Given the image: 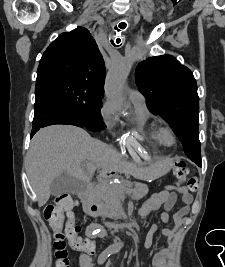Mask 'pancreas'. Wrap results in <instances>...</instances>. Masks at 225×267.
I'll use <instances>...</instances> for the list:
<instances>
[{
  "label": "pancreas",
  "mask_w": 225,
  "mask_h": 267,
  "mask_svg": "<svg viewBox=\"0 0 225 267\" xmlns=\"http://www.w3.org/2000/svg\"><path fill=\"white\" fill-rule=\"evenodd\" d=\"M148 187L139 183L127 182L124 188L119 189L116 186H110L105 181L100 182L95 188V195L101 201V215L110 217L118 210L125 195L134 200H140L148 193Z\"/></svg>",
  "instance_id": "pancreas-1"
}]
</instances>
